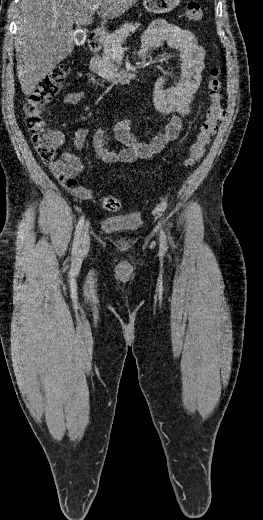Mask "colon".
Returning a JSON list of instances; mask_svg holds the SVG:
<instances>
[{
  "mask_svg": "<svg viewBox=\"0 0 263 520\" xmlns=\"http://www.w3.org/2000/svg\"><path fill=\"white\" fill-rule=\"evenodd\" d=\"M185 15L190 21H200L203 17L200 4L194 1L189 2ZM68 72L67 65H59L53 69L29 94L24 105L25 125L31 134L32 144L43 162H51L59 146L53 135L45 129L44 110L65 83ZM208 89L210 102L205 110L204 119L199 125L196 138L189 148L186 159L188 167L193 166L204 155L223 116L222 81L221 73L217 68H213L210 72ZM102 205L109 212H117L121 208L120 200L114 196H105L102 199Z\"/></svg>",
  "mask_w": 263,
  "mask_h": 520,
  "instance_id": "colon-1",
  "label": "colon"
}]
</instances>
